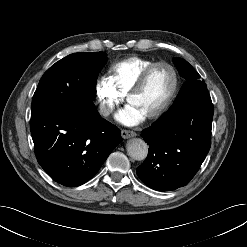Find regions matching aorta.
<instances>
[{
	"label": "aorta",
	"mask_w": 247,
	"mask_h": 247,
	"mask_svg": "<svg viewBox=\"0 0 247 247\" xmlns=\"http://www.w3.org/2000/svg\"><path fill=\"white\" fill-rule=\"evenodd\" d=\"M128 155L134 160L141 161L147 157L148 145L140 138L130 139L126 144Z\"/></svg>",
	"instance_id": "1"
}]
</instances>
